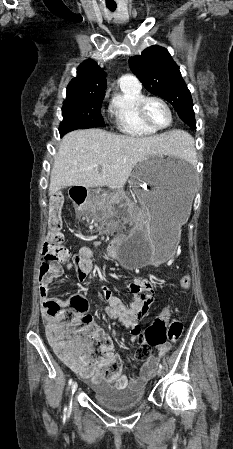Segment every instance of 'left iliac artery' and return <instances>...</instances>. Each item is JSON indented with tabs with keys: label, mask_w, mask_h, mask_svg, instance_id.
<instances>
[{
	"label": "left iliac artery",
	"mask_w": 233,
	"mask_h": 449,
	"mask_svg": "<svg viewBox=\"0 0 233 449\" xmlns=\"http://www.w3.org/2000/svg\"><path fill=\"white\" fill-rule=\"evenodd\" d=\"M159 368H160V369H163L164 367H163V365H162V364H160V365H159Z\"/></svg>",
	"instance_id": "left-iliac-artery-1"
}]
</instances>
